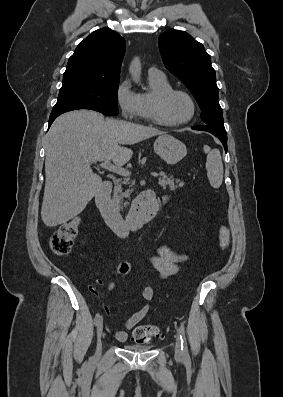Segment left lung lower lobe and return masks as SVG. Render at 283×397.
I'll return each instance as SVG.
<instances>
[{"label": "left lung lower lobe", "instance_id": "1", "mask_svg": "<svg viewBox=\"0 0 283 397\" xmlns=\"http://www.w3.org/2000/svg\"><path fill=\"white\" fill-rule=\"evenodd\" d=\"M192 129L200 130V131H207L209 133H212L213 135H215L217 138L220 139V141L222 142V144L224 146L225 152H227V136H226L225 130L214 128V127L208 126V125L194 126V127H192Z\"/></svg>", "mask_w": 283, "mask_h": 397}]
</instances>
